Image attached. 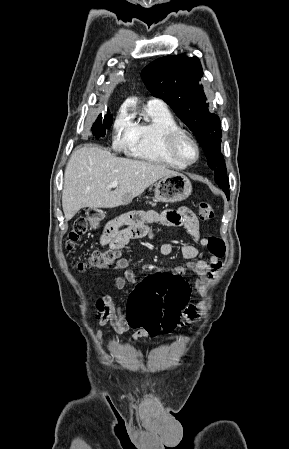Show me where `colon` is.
<instances>
[{
    "mask_svg": "<svg viewBox=\"0 0 289 449\" xmlns=\"http://www.w3.org/2000/svg\"><path fill=\"white\" fill-rule=\"evenodd\" d=\"M202 220L213 219L214 211L208 203L199 205ZM88 220L76 219L68 235L67 248H74L75 243L86 233ZM208 250L218 258L225 254V243L216 236L208 238ZM120 258L118 250L107 248L94 251L87 262L74 261L80 271L88 269H105L111 267ZM189 286L175 272L157 273L139 279L125 303L128 310V322L132 328L144 329L152 337L161 331L171 333L181 321L182 314L189 300Z\"/></svg>",
    "mask_w": 289,
    "mask_h": 449,
    "instance_id": "obj_1",
    "label": "colon"
}]
</instances>
